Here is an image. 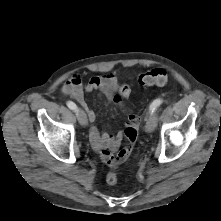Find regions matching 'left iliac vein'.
<instances>
[{
  "instance_id": "1",
  "label": "left iliac vein",
  "mask_w": 221,
  "mask_h": 221,
  "mask_svg": "<svg viewBox=\"0 0 221 221\" xmlns=\"http://www.w3.org/2000/svg\"><path fill=\"white\" fill-rule=\"evenodd\" d=\"M156 126H157V115L155 113H151L147 119L145 125V131L147 133H152L155 130Z\"/></svg>"
}]
</instances>
